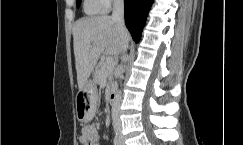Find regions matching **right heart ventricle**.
Listing matches in <instances>:
<instances>
[{
    "label": "right heart ventricle",
    "mask_w": 243,
    "mask_h": 145,
    "mask_svg": "<svg viewBox=\"0 0 243 145\" xmlns=\"http://www.w3.org/2000/svg\"><path fill=\"white\" fill-rule=\"evenodd\" d=\"M106 10L101 0H84V11L88 15H97Z\"/></svg>",
    "instance_id": "1"
}]
</instances>
